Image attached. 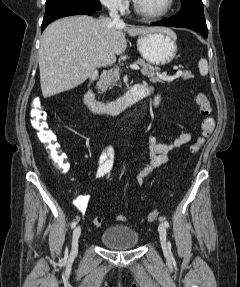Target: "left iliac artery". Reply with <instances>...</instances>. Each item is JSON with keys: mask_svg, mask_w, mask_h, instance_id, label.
<instances>
[{"mask_svg": "<svg viewBox=\"0 0 240 287\" xmlns=\"http://www.w3.org/2000/svg\"><path fill=\"white\" fill-rule=\"evenodd\" d=\"M164 226H165L166 228H168V227H169V222H168V221H164Z\"/></svg>", "mask_w": 240, "mask_h": 287, "instance_id": "1", "label": "left iliac artery"}]
</instances>
